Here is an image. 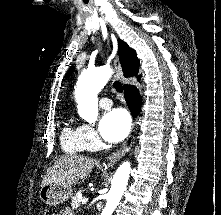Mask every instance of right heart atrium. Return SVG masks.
<instances>
[{
  "instance_id": "d8ad5b80",
  "label": "right heart atrium",
  "mask_w": 221,
  "mask_h": 215,
  "mask_svg": "<svg viewBox=\"0 0 221 215\" xmlns=\"http://www.w3.org/2000/svg\"><path fill=\"white\" fill-rule=\"evenodd\" d=\"M80 136L85 150H93L99 145V137L96 131L88 124L79 126Z\"/></svg>"
}]
</instances>
